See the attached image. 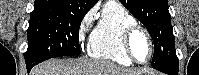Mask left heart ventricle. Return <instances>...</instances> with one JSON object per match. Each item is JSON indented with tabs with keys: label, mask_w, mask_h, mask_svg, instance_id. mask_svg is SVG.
Here are the masks:
<instances>
[{
	"label": "left heart ventricle",
	"mask_w": 199,
	"mask_h": 75,
	"mask_svg": "<svg viewBox=\"0 0 199 75\" xmlns=\"http://www.w3.org/2000/svg\"><path fill=\"white\" fill-rule=\"evenodd\" d=\"M131 49L140 62L147 60L150 53V46L147 38L141 32H136L131 39Z\"/></svg>",
	"instance_id": "1"
}]
</instances>
